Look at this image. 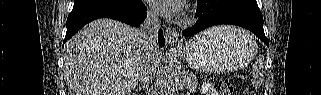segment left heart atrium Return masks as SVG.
Segmentation results:
<instances>
[{
	"mask_svg": "<svg viewBox=\"0 0 321 95\" xmlns=\"http://www.w3.org/2000/svg\"><path fill=\"white\" fill-rule=\"evenodd\" d=\"M151 5L158 12L172 15L179 13L183 6L184 1L182 0H151Z\"/></svg>",
	"mask_w": 321,
	"mask_h": 95,
	"instance_id": "39dd6f15",
	"label": "left heart atrium"
}]
</instances>
